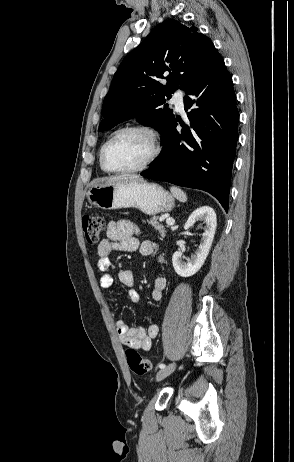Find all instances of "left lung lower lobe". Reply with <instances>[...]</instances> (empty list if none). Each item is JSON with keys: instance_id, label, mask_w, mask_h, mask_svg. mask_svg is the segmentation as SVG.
Returning a JSON list of instances; mask_svg holds the SVG:
<instances>
[{"instance_id": "1", "label": "left lung lower lobe", "mask_w": 294, "mask_h": 462, "mask_svg": "<svg viewBox=\"0 0 294 462\" xmlns=\"http://www.w3.org/2000/svg\"><path fill=\"white\" fill-rule=\"evenodd\" d=\"M189 126L174 118L163 136V154L142 176L201 189L216 197L225 211L238 140L239 113L232 78L222 58L209 64L185 89Z\"/></svg>"}]
</instances>
